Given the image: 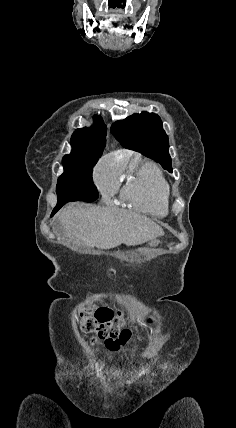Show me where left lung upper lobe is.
<instances>
[{"label":"left lung upper lobe","mask_w":236,"mask_h":428,"mask_svg":"<svg viewBox=\"0 0 236 428\" xmlns=\"http://www.w3.org/2000/svg\"><path fill=\"white\" fill-rule=\"evenodd\" d=\"M111 133L124 148L138 151L156 160L172 173L168 136L158 115L146 111L133 114L115 122L111 126Z\"/></svg>","instance_id":"1"}]
</instances>
